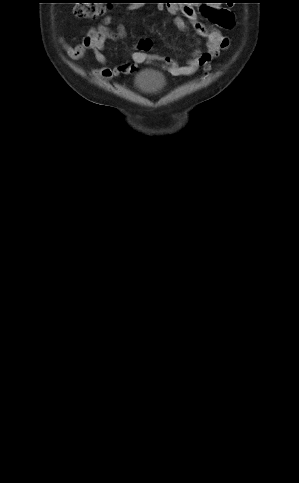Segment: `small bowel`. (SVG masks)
Returning a JSON list of instances; mask_svg holds the SVG:
<instances>
[{"label": "small bowel", "mask_w": 299, "mask_h": 483, "mask_svg": "<svg viewBox=\"0 0 299 483\" xmlns=\"http://www.w3.org/2000/svg\"><path fill=\"white\" fill-rule=\"evenodd\" d=\"M180 3V2H175ZM159 8L163 9V6ZM165 9L174 16V23L179 30H185V18L189 19L196 32L206 39V50H195L185 64L180 65L171 58L162 55L150 54L152 42L149 38L139 41L137 49L131 53L132 62L108 66V57L103 53L104 43L107 39H122L126 36V27L118 24L115 30L108 26L113 23L111 17H105L103 22L92 27L86 36L77 45H70L61 39L68 56L72 59H82L88 51H92L95 59L100 65L96 70V75L103 80H109L115 76H124L134 72L138 65L156 61L175 76H190L196 73L200 67H208L212 60L217 58L220 53L229 46V39L216 28H208L198 21L197 13L193 6L182 4H168ZM204 13L217 26L230 29L234 25L235 17L232 12L218 5H208L203 8Z\"/></svg>", "instance_id": "small-bowel-1"}]
</instances>
